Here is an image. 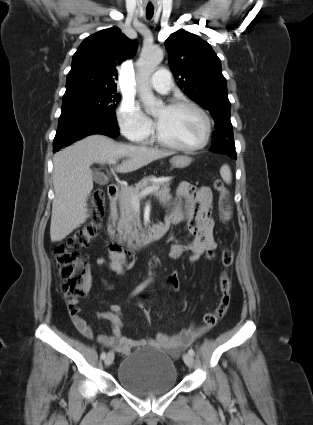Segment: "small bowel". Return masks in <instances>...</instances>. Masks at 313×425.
<instances>
[{
    "mask_svg": "<svg viewBox=\"0 0 313 425\" xmlns=\"http://www.w3.org/2000/svg\"><path fill=\"white\" fill-rule=\"evenodd\" d=\"M177 198L173 202V209L167 216L164 226L168 229L172 224L186 223L188 231L193 235L189 243H173L170 246L169 257L179 259L188 252L189 262L198 261L208 249H214L216 244L213 238L214 222L211 218L212 191L209 187L196 188L190 183L182 182L177 188ZM181 199L185 200L183 204ZM96 263L100 267H105L117 274L125 272V256L121 252L110 250L108 257H98ZM86 292L90 289V281L86 284ZM70 318L75 328L86 338L93 337V330L89 323L83 319L80 309L68 306ZM101 319L112 324L111 334H101L97 341L106 346L112 347L120 353L128 354L134 347L151 345L165 347L173 355L189 346L194 339L205 333L209 328L205 325L181 331L176 336L159 334L154 339H131L123 335L121 309L118 305H112L107 312L99 314Z\"/></svg>",
    "mask_w": 313,
    "mask_h": 425,
    "instance_id": "1",
    "label": "small bowel"
}]
</instances>
